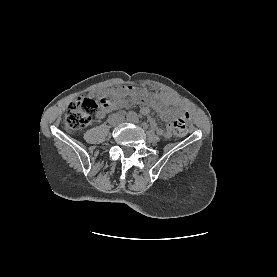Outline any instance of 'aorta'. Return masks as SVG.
<instances>
[{"label": "aorta", "mask_w": 277, "mask_h": 277, "mask_svg": "<svg viewBox=\"0 0 277 277\" xmlns=\"http://www.w3.org/2000/svg\"><path fill=\"white\" fill-rule=\"evenodd\" d=\"M137 119H138V116H137V114H136L135 112L130 111V112L127 114V120H128L129 122H135V121H137Z\"/></svg>", "instance_id": "aorta-1"}]
</instances>
